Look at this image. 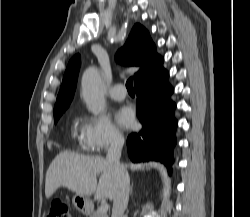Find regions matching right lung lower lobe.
Returning <instances> with one entry per match:
<instances>
[{
  "label": "right lung lower lobe",
  "mask_w": 250,
  "mask_h": 217,
  "mask_svg": "<svg viewBox=\"0 0 250 217\" xmlns=\"http://www.w3.org/2000/svg\"><path fill=\"white\" fill-rule=\"evenodd\" d=\"M161 58L134 82L137 117L142 129L127 138L128 154L133 162L155 160L171 169L176 144L174 117L176 104L170 100L173 88Z\"/></svg>",
  "instance_id": "obj_1"
}]
</instances>
